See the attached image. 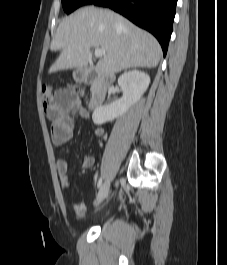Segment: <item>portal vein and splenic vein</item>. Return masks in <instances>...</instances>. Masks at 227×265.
Listing matches in <instances>:
<instances>
[{
	"label": "portal vein and splenic vein",
	"instance_id": "obj_1",
	"mask_svg": "<svg viewBox=\"0 0 227 265\" xmlns=\"http://www.w3.org/2000/svg\"><path fill=\"white\" fill-rule=\"evenodd\" d=\"M94 54L96 57H103L106 54V52L104 49H100V48L96 47Z\"/></svg>",
	"mask_w": 227,
	"mask_h": 265
}]
</instances>
